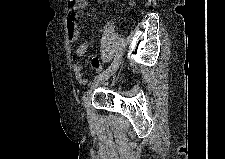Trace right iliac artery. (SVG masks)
<instances>
[{
	"label": "right iliac artery",
	"mask_w": 225,
	"mask_h": 159,
	"mask_svg": "<svg viewBox=\"0 0 225 159\" xmlns=\"http://www.w3.org/2000/svg\"><path fill=\"white\" fill-rule=\"evenodd\" d=\"M119 57H120V55H117L115 58H114V61H113V63L111 64V65H114L118 60H119ZM108 69H110V67H108L105 71H103L102 73H104V72H106ZM102 73H100V74H102ZM99 74V75H100Z\"/></svg>",
	"instance_id": "obj_1"
}]
</instances>
